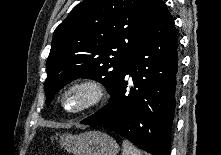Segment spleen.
Listing matches in <instances>:
<instances>
[{"mask_svg": "<svg viewBox=\"0 0 221 155\" xmlns=\"http://www.w3.org/2000/svg\"><path fill=\"white\" fill-rule=\"evenodd\" d=\"M122 155H142V153L132 143H130L127 140H124Z\"/></svg>", "mask_w": 221, "mask_h": 155, "instance_id": "obj_1", "label": "spleen"}]
</instances>
